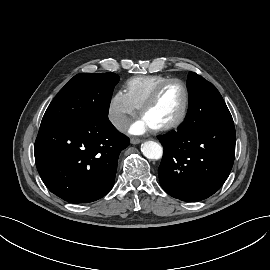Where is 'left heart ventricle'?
<instances>
[{
	"instance_id": "left-heart-ventricle-1",
	"label": "left heart ventricle",
	"mask_w": 270,
	"mask_h": 270,
	"mask_svg": "<svg viewBox=\"0 0 270 270\" xmlns=\"http://www.w3.org/2000/svg\"><path fill=\"white\" fill-rule=\"evenodd\" d=\"M184 102V90L179 83L166 86L155 103L142 118L153 128L170 122L181 111Z\"/></svg>"
}]
</instances>
